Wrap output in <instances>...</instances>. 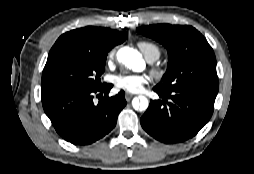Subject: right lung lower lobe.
<instances>
[{
	"label": "right lung lower lobe",
	"mask_w": 254,
	"mask_h": 174,
	"mask_svg": "<svg viewBox=\"0 0 254 174\" xmlns=\"http://www.w3.org/2000/svg\"><path fill=\"white\" fill-rule=\"evenodd\" d=\"M111 84L96 89L72 90L42 97V105L57 133L74 145H88L108 134L116 125L117 117L126 105L125 93L102 98ZM99 102L96 103L94 96Z\"/></svg>",
	"instance_id": "obj_1"
}]
</instances>
